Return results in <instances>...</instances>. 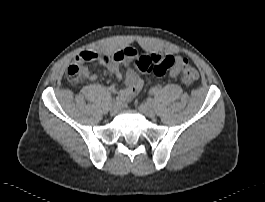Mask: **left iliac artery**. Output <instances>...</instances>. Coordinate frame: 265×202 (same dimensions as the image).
I'll use <instances>...</instances> for the list:
<instances>
[{"label": "left iliac artery", "mask_w": 265, "mask_h": 202, "mask_svg": "<svg viewBox=\"0 0 265 202\" xmlns=\"http://www.w3.org/2000/svg\"><path fill=\"white\" fill-rule=\"evenodd\" d=\"M150 93H151V94H156V93H157V89L154 88V87H152V88L150 89Z\"/></svg>", "instance_id": "obj_1"}]
</instances>
